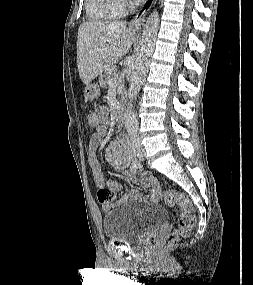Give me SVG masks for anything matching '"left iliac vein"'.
<instances>
[{"label": "left iliac vein", "instance_id": "4c4485c4", "mask_svg": "<svg viewBox=\"0 0 253 285\" xmlns=\"http://www.w3.org/2000/svg\"><path fill=\"white\" fill-rule=\"evenodd\" d=\"M138 150L140 151V159L144 160L145 159V150L142 146H139Z\"/></svg>", "mask_w": 253, "mask_h": 285}]
</instances>
